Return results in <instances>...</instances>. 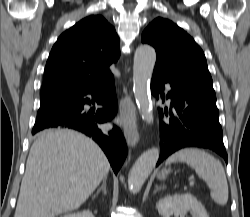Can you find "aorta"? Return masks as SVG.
<instances>
[{
	"label": "aorta",
	"mask_w": 250,
	"mask_h": 217,
	"mask_svg": "<svg viewBox=\"0 0 250 217\" xmlns=\"http://www.w3.org/2000/svg\"><path fill=\"white\" fill-rule=\"evenodd\" d=\"M156 62L155 49L149 45H141L136 49L133 65V92L143 119L153 123L152 103L149 81ZM160 150L153 147L144 152L135 162L128 175V186L132 193L141 190L144 182L156 166Z\"/></svg>",
	"instance_id": "aorta-1"
}]
</instances>
